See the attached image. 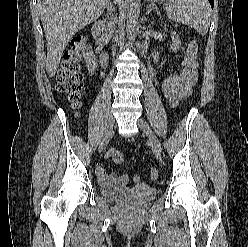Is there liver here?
Masks as SVG:
<instances>
[{
    "label": "liver",
    "instance_id": "1",
    "mask_svg": "<svg viewBox=\"0 0 248 247\" xmlns=\"http://www.w3.org/2000/svg\"><path fill=\"white\" fill-rule=\"evenodd\" d=\"M109 0H38L47 46L46 71L54 77L70 39L95 21Z\"/></svg>",
    "mask_w": 248,
    "mask_h": 247
}]
</instances>
